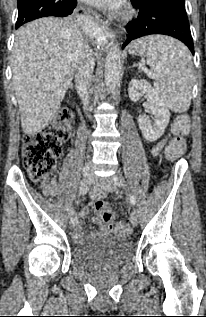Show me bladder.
Listing matches in <instances>:
<instances>
[{
	"label": "bladder",
	"instance_id": "31cf9c89",
	"mask_svg": "<svg viewBox=\"0 0 206 317\" xmlns=\"http://www.w3.org/2000/svg\"><path fill=\"white\" fill-rule=\"evenodd\" d=\"M132 253L129 240L119 236H103L76 244L72 256L83 267L114 268L127 262Z\"/></svg>",
	"mask_w": 206,
	"mask_h": 317
}]
</instances>
